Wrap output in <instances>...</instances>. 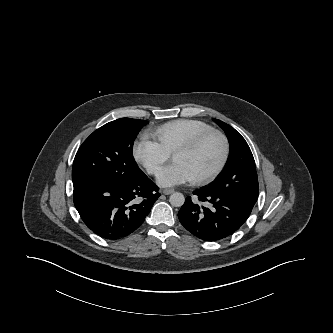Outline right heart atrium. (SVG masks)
<instances>
[{"mask_svg":"<svg viewBox=\"0 0 333 333\" xmlns=\"http://www.w3.org/2000/svg\"><path fill=\"white\" fill-rule=\"evenodd\" d=\"M133 157L148 174L158 176L170 154L148 136H142L133 146Z\"/></svg>","mask_w":333,"mask_h":333,"instance_id":"1","label":"right heart atrium"}]
</instances>
